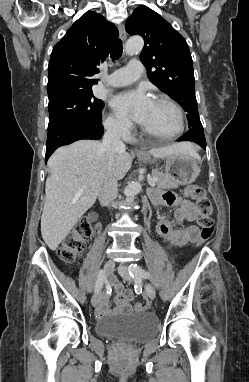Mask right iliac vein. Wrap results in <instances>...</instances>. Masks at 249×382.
Listing matches in <instances>:
<instances>
[{"label": "right iliac vein", "instance_id": "right-iliac-vein-1", "mask_svg": "<svg viewBox=\"0 0 249 382\" xmlns=\"http://www.w3.org/2000/svg\"><path fill=\"white\" fill-rule=\"evenodd\" d=\"M114 267H115L114 261L108 260L104 265L105 274L110 275L113 272ZM100 297H101L100 293L95 292V294L92 296V299H91V303L93 306H96L98 304Z\"/></svg>", "mask_w": 249, "mask_h": 382}]
</instances>
